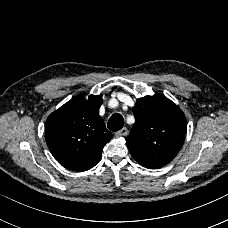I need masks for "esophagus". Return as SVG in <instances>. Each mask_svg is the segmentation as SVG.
I'll return each mask as SVG.
<instances>
[{"label": "esophagus", "instance_id": "1", "mask_svg": "<svg viewBox=\"0 0 228 228\" xmlns=\"http://www.w3.org/2000/svg\"><path fill=\"white\" fill-rule=\"evenodd\" d=\"M128 133H129L128 128L123 127V128L120 129L118 132H116L115 135H116L117 137H124V136H127Z\"/></svg>", "mask_w": 228, "mask_h": 228}]
</instances>
